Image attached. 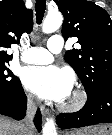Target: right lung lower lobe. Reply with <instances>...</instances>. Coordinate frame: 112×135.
Here are the masks:
<instances>
[{
  "label": "right lung lower lobe",
  "instance_id": "right-lung-lower-lobe-1",
  "mask_svg": "<svg viewBox=\"0 0 112 135\" xmlns=\"http://www.w3.org/2000/svg\"><path fill=\"white\" fill-rule=\"evenodd\" d=\"M26 95L20 85L13 92L0 95V114L13 117L16 120H21L26 112ZM34 123L37 129L41 130V113L37 110Z\"/></svg>",
  "mask_w": 112,
  "mask_h": 135
}]
</instances>
